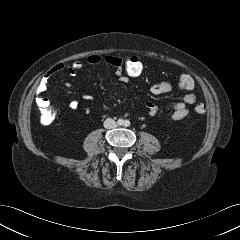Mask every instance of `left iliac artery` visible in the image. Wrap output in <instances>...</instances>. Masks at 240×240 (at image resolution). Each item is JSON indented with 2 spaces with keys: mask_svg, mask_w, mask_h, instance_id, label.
Masks as SVG:
<instances>
[{
  "mask_svg": "<svg viewBox=\"0 0 240 240\" xmlns=\"http://www.w3.org/2000/svg\"><path fill=\"white\" fill-rule=\"evenodd\" d=\"M124 124H125V126H129L130 125V121L126 120Z\"/></svg>",
  "mask_w": 240,
  "mask_h": 240,
  "instance_id": "left-iliac-artery-1",
  "label": "left iliac artery"
}]
</instances>
